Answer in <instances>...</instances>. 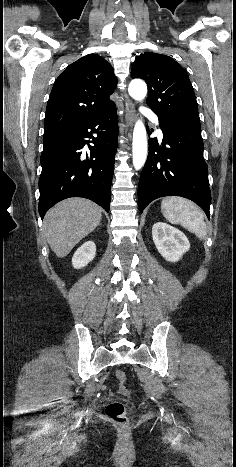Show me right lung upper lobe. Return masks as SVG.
Segmentation results:
<instances>
[{"mask_svg":"<svg viewBox=\"0 0 236 467\" xmlns=\"http://www.w3.org/2000/svg\"><path fill=\"white\" fill-rule=\"evenodd\" d=\"M116 84L112 66L99 55L89 54L69 65L53 85L44 135L85 123L115 106L109 96Z\"/></svg>","mask_w":236,"mask_h":467,"instance_id":"1","label":"right lung upper lobe"}]
</instances>
